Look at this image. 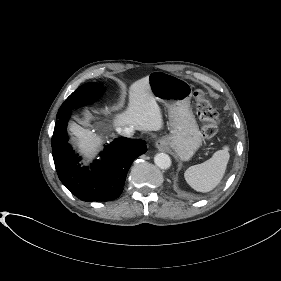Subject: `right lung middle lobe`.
I'll return each mask as SVG.
<instances>
[{"instance_id": "1", "label": "right lung middle lobe", "mask_w": 281, "mask_h": 281, "mask_svg": "<svg viewBox=\"0 0 281 281\" xmlns=\"http://www.w3.org/2000/svg\"><path fill=\"white\" fill-rule=\"evenodd\" d=\"M104 87L101 83H86L75 90L62 104L57 113V119L72 109L93 103L100 97Z\"/></svg>"}]
</instances>
